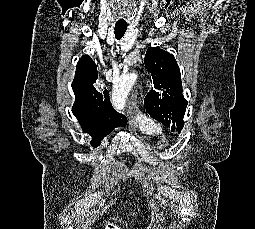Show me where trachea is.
I'll list each match as a JSON object with an SVG mask.
<instances>
[{"mask_svg":"<svg viewBox=\"0 0 255 229\" xmlns=\"http://www.w3.org/2000/svg\"><path fill=\"white\" fill-rule=\"evenodd\" d=\"M126 29H127V23L117 22L115 24L116 39L120 40L124 36Z\"/></svg>","mask_w":255,"mask_h":229,"instance_id":"1","label":"trachea"}]
</instances>
